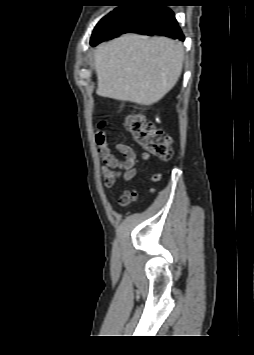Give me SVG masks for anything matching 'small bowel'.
Listing matches in <instances>:
<instances>
[{"label": "small bowel", "mask_w": 254, "mask_h": 355, "mask_svg": "<svg viewBox=\"0 0 254 355\" xmlns=\"http://www.w3.org/2000/svg\"><path fill=\"white\" fill-rule=\"evenodd\" d=\"M104 124V126H106V122H104ZM95 138L97 145V154L103 162L101 172L103 178V185L105 188L109 189L119 181L123 183L129 182L137 176L138 171L135 167L136 154L132 147L125 143L117 142L115 144V148L124 157L123 160H119L113 154L110 144L107 140L106 133L103 130H98ZM143 158L145 160L148 159L146 155H144ZM161 179V173H155L148 177V181L150 182H158ZM131 192L134 193L133 197H131ZM136 196L137 191L135 188L127 189L120 196L119 203L122 207H125L132 200H134Z\"/></svg>", "instance_id": "small-bowel-1"}]
</instances>
